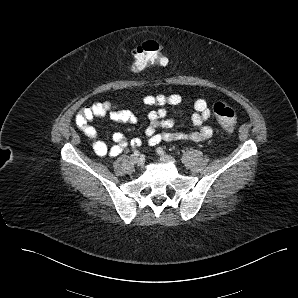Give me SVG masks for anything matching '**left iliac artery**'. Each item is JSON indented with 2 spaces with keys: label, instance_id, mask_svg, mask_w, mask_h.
Instances as JSON below:
<instances>
[{
  "label": "left iliac artery",
  "instance_id": "left-iliac-artery-1",
  "mask_svg": "<svg viewBox=\"0 0 298 298\" xmlns=\"http://www.w3.org/2000/svg\"><path fill=\"white\" fill-rule=\"evenodd\" d=\"M157 153L160 154V155H164L165 151L161 147H158L157 148Z\"/></svg>",
  "mask_w": 298,
  "mask_h": 298
}]
</instances>
